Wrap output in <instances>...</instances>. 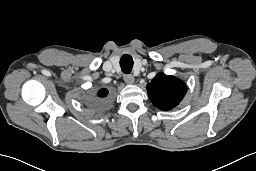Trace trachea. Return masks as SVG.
I'll list each match as a JSON object with an SVG mask.
<instances>
[{
  "label": "trachea",
  "instance_id": "trachea-1",
  "mask_svg": "<svg viewBox=\"0 0 256 171\" xmlns=\"http://www.w3.org/2000/svg\"><path fill=\"white\" fill-rule=\"evenodd\" d=\"M121 70L125 74H129L133 68V59L130 55L124 54L120 59Z\"/></svg>",
  "mask_w": 256,
  "mask_h": 171
}]
</instances>
